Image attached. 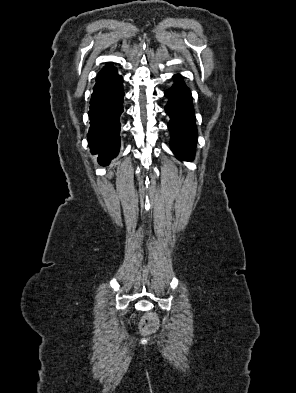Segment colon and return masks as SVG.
<instances>
[{
	"instance_id": "obj_1",
	"label": "colon",
	"mask_w": 296,
	"mask_h": 393,
	"mask_svg": "<svg viewBox=\"0 0 296 393\" xmlns=\"http://www.w3.org/2000/svg\"><path fill=\"white\" fill-rule=\"evenodd\" d=\"M159 320L155 313L146 314L139 323L140 330L145 334H151L157 330Z\"/></svg>"
}]
</instances>
